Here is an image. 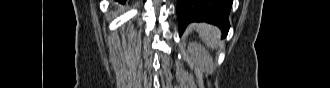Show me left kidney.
<instances>
[{
  "mask_svg": "<svg viewBox=\"0 0 330 88\" xmlns=\"http://www.w3.org/2000/svg\"><path fill=\"white\" fill-rule=\"evenodd\" d=\"M188 51L193 65L201 71L207 72L213 67L212 57L200 43L190 42L188 45Z\"/></svg>",
  "mask_w": 330,
  "mask_h": 88,
  "instance_id": "left-kidney-1",
  "label": "left kidney"
}]
</instances>
